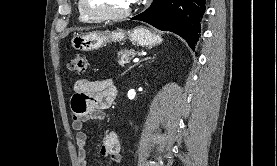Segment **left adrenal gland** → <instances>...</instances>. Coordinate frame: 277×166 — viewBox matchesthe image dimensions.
Instances as JSON below:
<instances>
[{
    "label": "left adrenal gland",
    "mask_w": 277,
    "mask_h": 166,
    "mask_svg": "<svg viewBox=\"0 0 277 166\" xmlns=\"http://www.w3.org/2000/svg\"><path fill=\"white\" fill-rule=\"evenodd\" d=\"M155 56H156V54L153 56V58H151V57H146V58H144L143 60H141L140 62H142V61H147V60H152V61H153V60L155 59ZM140 62H139V63H140ZM148 63H150V61H149ZM135 65H138V63L135 64ZM135 65H134V66H135ZM134 66H132V67H134ZM132 67H130V69H131Z\"/></svg>",
    "instance_id": "left-adrenal-gland-1"
}]
</instances>
